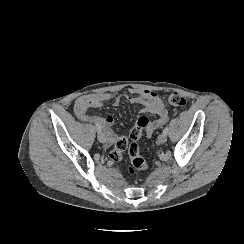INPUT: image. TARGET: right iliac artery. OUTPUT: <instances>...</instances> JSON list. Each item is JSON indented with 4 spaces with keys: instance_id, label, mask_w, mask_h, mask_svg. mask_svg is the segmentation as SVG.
Returning a JSON list of instances; mask_svg holds the SVG:
<instances>
[{
    "instance_id": "1",
    "label": "right iliac artery",
    "mask_w": 244,
    "mask_h": 244,
    "mask_svg": "<svg viewBox=\"0 0 244 244\" xmlns=\"http://www.w3.org/2000/svg\"><path fill=\"white\" fill-rule=\"evenodd\" d=\"M96 128L98 133L101 132V125L99 123H96Z\"/></svg>"
}]
</instances>
